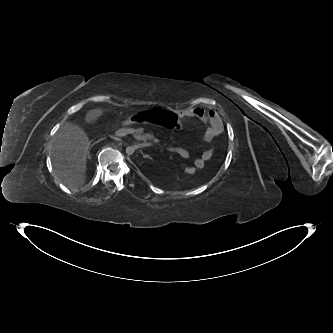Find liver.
Here are the masks:
<instances>
[{
    "instance_id": "1",
    "label": "liver",
    "mask_w": 333,
    "mask_h": 333,
    "mask_svg": "<svg viewBox=\"0 0 333 333\" xmlns=\"http://www.w3.org/2000/svg\"><path fill=\"white\" fill-rule=\"evenodd\" d=\"M104 109L95 108L85 115L86 123H95ZM91 141L77 124L66 123L56 134L52 145V165L57 177L69 188L81 187L86 180L87 153Z\"/></svg>"
}]
</instances>
